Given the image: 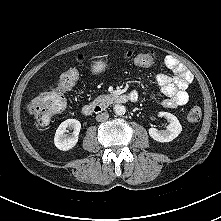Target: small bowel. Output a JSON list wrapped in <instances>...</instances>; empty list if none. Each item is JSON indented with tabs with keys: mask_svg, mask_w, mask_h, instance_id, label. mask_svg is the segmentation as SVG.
I'll use <instances>...</instances> for the list:
<instances>
[{
	"mask_svg": "<svg viewBox=\"0 0 221 221\" xmlns=\"http://www.w3.org/2000/svg\"><path fill=\"white\" fill-rule=\"evenodd\" d=\"M164 63L173 75L160 74L157 77V83L164 95L163 105L168 108L185 105L189 101L187 88L192 82V74L172 56H167Z\"/></svg>",
	"mask_w": 221,
	"mask_h": 221,
	"instance_id": "1",
	"label": "small bowel"
}]
</instances>
